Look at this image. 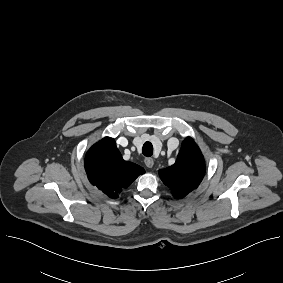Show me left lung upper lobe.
Returning a JSON list of instances; mask_svg holds the SVG:
<instances>
[{"label": "left lung upper lobe", "mask_w": 283, "mask_h": 283, "mask_svg": "<svg viewBox=\"0 0 283 283\" xmlns=\"http://www.w3.org/2000/svg\"><path fill=\"white\" fill-rule=\"evenodd\" d=\"M205 174L203 155L190 137L183 141L175 164L161 169L159 175L163 183L176 198H183L198 187Z\"/></svg>", "instance_id": "1"}]
</instances>
